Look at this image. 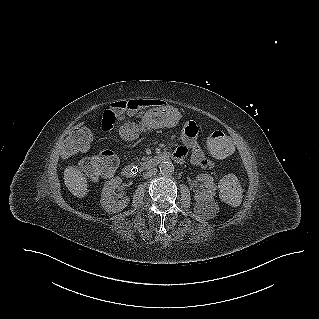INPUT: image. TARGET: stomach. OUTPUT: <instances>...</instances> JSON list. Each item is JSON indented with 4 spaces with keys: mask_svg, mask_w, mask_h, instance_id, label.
I'll list each match as a JSON object with an SVG mask.
<instances>
[{
    "mask_svg": "<svg viewBox=\"0 0 319 319\" xmlns=\"http://www.w3.org/2000/svg\"><path fill=\"white\" fill-rule=\"evenodd\" d=\"M181 117L178 109L166 105L148 110L139 123L142 125V132L147 134L162 127H174L179 123Z\"/></svg>",
    "mask_w": 319,
    "mask_h": 319,
    "instance_id": "stomach-1",
    "label": "stomach"
}]
</instances>
